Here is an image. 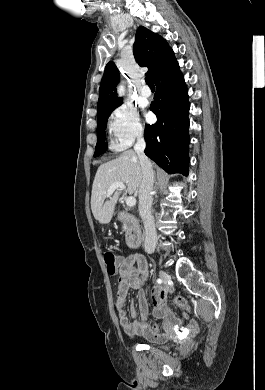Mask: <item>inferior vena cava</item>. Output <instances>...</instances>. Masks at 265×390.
I'll list each match as a JSON object with an SVG mask.
<instances>
[{
  "mask_svg": "<svg viewBox=\"0 0 265 390\" xmlns=\"http://www.w3.org/2000/svg\"><path fill=\"white\" fill-rule=\"evenodd\" d=\"M145 140L142 136L137 138L134 150L137 153L142 167L143 178L139 188V214L144 223V248L149 254L153 253L157 243V233L154 223V217L151 212L152 208V191L154 183V171L152 164L145 155Z\"/></svg>",
  "mask_w": 265,
  "mask_h": 390,
  "instance_id": "1",
  "label": "inferior vena cava"
}]
</instances>
